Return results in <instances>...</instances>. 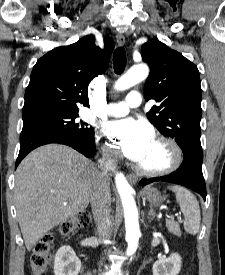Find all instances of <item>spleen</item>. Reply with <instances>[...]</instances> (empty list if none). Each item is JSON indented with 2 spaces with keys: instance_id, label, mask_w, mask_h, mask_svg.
<instances>
[{
  "instance_id": "3e777b00",
  "label": "spleen",
  "mask_w": 225,
  "mask_h": 275,
  "mask_svg": "<svg viewBox=\"0 0 225 275\" xmlns=\"http://www.w3.org/2000/svg\"><path fill=\"white\" fill-rule=\"evenodd\" d=\"M168 188L175 193L176 200L185 217V231L191 235L197 234L200 228L201 215L196 197L189 190L181 186L175 185Z\"/></svg>"
}]
</instances>
